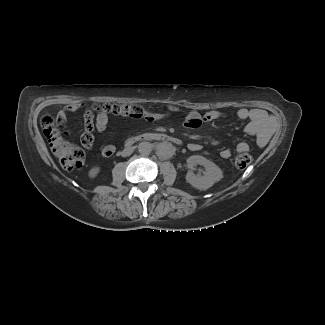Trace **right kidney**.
Here are the masks:
<instances>
[{"label":"right kidney","mask_w":325,"mask_h":325,"mask_svg":"<svg viewBox=\"0 0 325 325\" xmlns=\"http://www.w3.org/2000/svg\"><path fill=\"white\" fill-rule=\"evenodd\" d=\"M100 172V168L99 167H94L89 171V177L90 178H94L97 176V174Z\"/></svg>","instance_id":"ca27d5eb"}]
</instances>
